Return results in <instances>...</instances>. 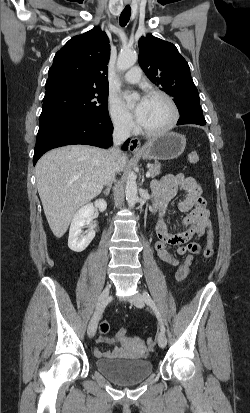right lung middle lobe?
<instances>
[{"label":"right lung middle lobe","mask_w":250,"mask_h":413,"mask_svg":"<svg viewBox=\"0 0 250 413\" xmlns=\"http://www.w3.org/2000/svg\"><path fill=\"white\" fill-rule=\"evenodd\" d=\"M108 89L63 85L45 93L40 124L63 115L107 116Z\"/></svg>","instance_id":"dd1d6c3e"}]
</instances>
